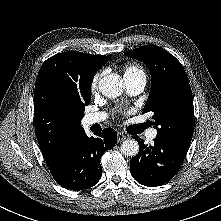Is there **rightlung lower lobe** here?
<instances>
[{"instance_id":"right-lung-lower-lobe-1","label":"right lung lower lobe","mask_w":221,"mask_h":221,"mask_svg":"<svg viewBox=\"0 0 221 221\" xmlns=\"http://www.w3.org/2000/svg\"><path fill=\"white\" fill-rule=\"evenodd\" d=\"M115 130L105 128L96 138L80 131L58 158L48 164L54 179L64 188L83 190L94 186L100 179L101 155L114 147Z\"/></svg>"}]
</instances>
